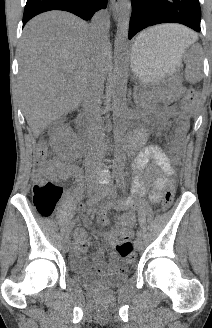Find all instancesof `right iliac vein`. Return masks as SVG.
<instances>
[{
	"label": "right iliac vein",
	"instance_id": "obj_1",
	"mask_svg": "<svg viewBox=\"0 0 212 328\" xmlns=\"http://www.w3.org/2000/svg\"><path fill=\"white\" fill-rule=\"evenodd\" d=\"M94 191V185L89 182L88 185H87V192L89 195H91V193ZM71 248V244H70V241L66 238L64 243H63V249L65 252H68Z\"/></svg>",
	"mask_w": 212,
	"mask_h": 328
}]
</instances>
